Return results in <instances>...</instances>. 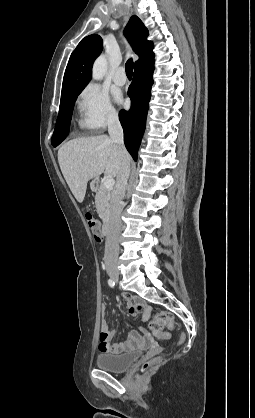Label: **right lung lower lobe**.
<instances>
[{
  "label": "right lung lower lobe",
  "mask_w": 255,
  "mask_h": 418,
  "mask_svg": "<svg viewBox=\"0 0 255 418\" xmlns=\"http://www.w3.org/2000/svg\"><path fill=\"white\" fill-rule=\"evenodd\" d=\"M154 61L135 69L133 81L128 89L132 107L129 111L121 110L119 119L124 130V143L137 160V152L145 130L146 117L153 85Z\"/></svg>",
  "instance_id": "obj_1"
}]
</instances>
